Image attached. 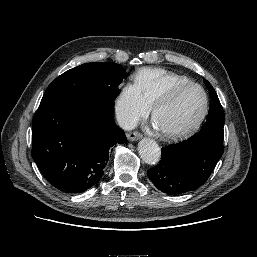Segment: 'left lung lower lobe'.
Wrapping results in <instances>:
<instances>
[{"label": "left lung lower lobe", "instance_id": "left-lung-lower-lobe-1", "mask_svg": "<svg viewBox=\"0 0 257 257\" xmlns=\"http://www.w3.org/2000/svg\"><path fill=\"white\" fill-rule=\"evenodd\" d=\"M223 138L211 134L193 135L161 150L159 164L147 175L162 192L179 195L202 186L223 154Z\"/></svg>", "mask_w": 257, "mask_h": 257}]
</instances>
